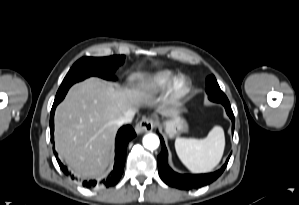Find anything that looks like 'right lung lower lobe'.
Here are the masks:
<instances>
[{"label":"right lung lower lobe","mask_w":299,"mask_h":205,"mask_svg":"<svg viewBox=\"0 0 299 205\" xmlns=\"http://www.w3.org/2000/svg\"><path fill=\"white\" fill-rule=\"evenodd\" d=\"M58 103L59 102L54 101L51 110V115H50L51 140H53V131H54V112ZM135 136L136 133L131 126L126 125L121 127L116 136L115 163H114L113 170L106 178L102 179L99 182L95 180L83 181L82 182L83 186L87 188H93L95 186L108 188L110 186L117 184V182L119 181L123 173L128 142ZM57 161L61 169L63 170V172L66 175H70V173L67 171V168L63 166V164L60 162L58 158ZM71 178L74 179L73 176H71Z\"/></svg>","instance_id":"obj_1"}]
</instances>
